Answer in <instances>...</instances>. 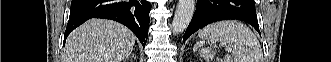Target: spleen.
<instances>
[{"instance_id":"3e777b00","label":"spleen","mask_w":331,"mask_h":62,"mask_svg":"<svg viewBox=\"0 0 331 62\" xmlns=\"http://www.w3.org/2000/svg\"><path fill=\"white\" fill-rule=\"evenodd\" d=\"M201 43L219 42L228 49L233 48L232 55L225 56V62H261L262 52L254 33L238 21L227 20L213 23L199 31ZM200 56L211 59L215 51L202 48Z\"/></svg>"}]
</instances>
